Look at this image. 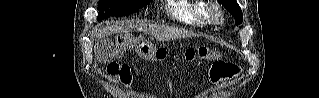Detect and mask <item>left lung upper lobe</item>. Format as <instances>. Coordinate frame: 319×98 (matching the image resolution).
I'll return each instance as SVG.
<instances>
[{
    "mask_svg": "<svg viewBox=\"0 0 319 98\" xmlns=\"http://www.w3.org/2000/svg\"><path fill=\"white\" fill-rule=\"evenodd\" d=\"M234 17L236 25L242 23L243 14L236 0H218Z\"/></svg>",
    "mask_w": 319,
    "mask_h": 98,
    "instance_id": "5c2ea615",
    "label": "left lung upper lobe"
}]
</instances>
